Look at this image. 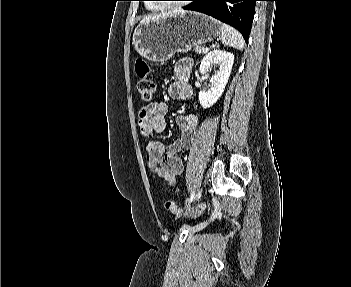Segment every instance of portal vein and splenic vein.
<instances>
[{"label":"portal vein and splenic vein","mask_w":351,"mask_h":287,"mask_svg":"<svg viewBox=\"0 0 351 287\" xmlns=\"http://www.w3.org/2000/svg\"><path fill=\"white\" fill-rule=\"evenodd\" d=\"M203 51H204V52H207V51H208V48H204Z\"/></svg>","instance_id":"portal-vein-and-splenic-vein-1"}]
</instances>
